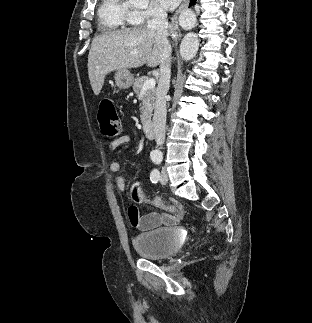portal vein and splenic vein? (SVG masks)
<instances>
[{"mask_svg":"<svg viewBox=\"0 0 312 323\" xmlns=\"http://www.w3.org/2000/svg\"><path fill=\"white\" fill-rule=\"evenodd\" d=\"M155 80L154 78H150V80H147V82H145L142 90H141V94H144V92H146V90H149V88H155Z\"/></svg>","mask_w":312,"mask_h":323,"instance_id":"obj_1","label":"portal vein and splenic vein"}]
</instances>
